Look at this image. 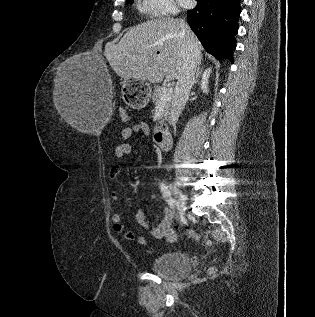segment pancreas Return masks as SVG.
Returning a JSON list of instances; mask_svg holds the SVG:
<instances>
[{"label":"pancreas","instance_id":"pancreas-1","mask_svg":"<svg viewBox=\"0 0 315 317\" xmlns=\"http://www.w3.org/2000/svg\"><path fill=\"white\" fill-rule=\"evenodd\" d=\"M166 89H167L166 86H158V87H156L154 89V92L152 94V100L155 103V105H158L161 102L162 93ZM170 107H171V99L165 101L164 111H163V114H162V118H163L162 121L167 119V116H168L169 111H170Z\"/></svg>","mask_w":315,"mask_h":317}]
</instances>
